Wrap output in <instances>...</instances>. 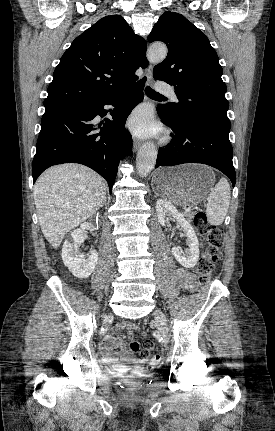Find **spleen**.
<instances>
[{
	"label": "spleen",
	"instance_id": "spleen-1",
	"mask_svg": "<svg viewBox=\"0 0 275 431\" xmlns=\"http://www.w3.org/2000/svg\"><path fill=\"white\" fill-rule=\"evenodd\" d=\"M230 198V185L226 179H221L207 197L206 214L211 224L218 226L223 223L228 212Z\"/></svg>",
	"mask_w": 275,
	"mask_h": 431
}]
</instances>
